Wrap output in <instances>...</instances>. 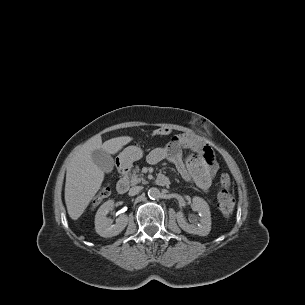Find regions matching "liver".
I'll use <instances>...</instances> for the list:
<instances>
[{
    "label": "liver",
    "instance_id": "6515ba94",
    "mask_svg": "<svg viewBox=\"0 0 305 305\" xmlns=\"http://www.w3.org/2000/svg\"><path fill=\"white\" fill-rule=\"evenodd\" d=\"M133 140L130 136H120L102 143L100 135H95L77 147L66 170L65 203L71 219L77 220L99 191L104 180V172L92 160V151L102 149L116 154Z\"/></svg>",
    "mask_w": 305,
    "mask_h": 305
}]
</instances>
